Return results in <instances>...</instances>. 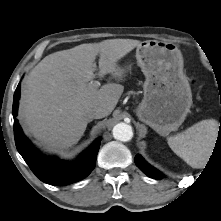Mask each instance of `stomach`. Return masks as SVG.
<instances>
[{"label": "stomach", "mask_w": 221, "mask_h": 221, "mask_svg": "<svg viewBox=\"0 0 221 221\" xmlns=\"http://www.w3.org/2000/svg\"><path fill=\"white\" fill-rule=\"evenodd\" d=\"M136 59L146 78L136 115L160 135H167L179 128L192 105L182 53L173 43L148 40L137 47ZM119 70L116 77L125 72L123 68Z\"/></svg>", "instance_id": "1"}]
</instances>
